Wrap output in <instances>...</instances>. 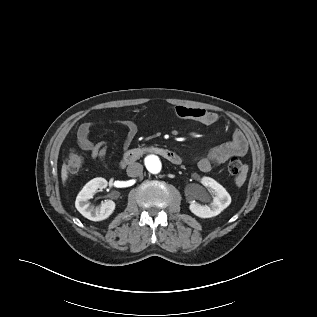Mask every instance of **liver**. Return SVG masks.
<instances>
[{
    "label": "liver",
    "mask_w": 317,
    "mask_h": 317,
    "mask_svg": "<svg viewBox=\"0 0 317 317\" xmlns=\"http://www.w3.org/2000/svg\"><path fill=\"white\" fill-rule=\"evenodd\" d=\"M61 178L63 183H65L68 178L67 165L65 163L62 165Z\"/></svg>",
    "instance_id": "1"
}]
</instances>
